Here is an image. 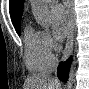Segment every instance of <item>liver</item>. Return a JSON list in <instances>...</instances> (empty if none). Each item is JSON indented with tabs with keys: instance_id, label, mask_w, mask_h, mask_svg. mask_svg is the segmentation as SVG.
Instances as JSON below:
<instances>
[{
	"instance_id": "6515ba94",
	"label": "liver",
	"mask_w": 89,
	"mask_h": 89,
	"mask_svg": "<svg viewBox=\"0 0 89 89\" xmlns=\"http://www.w3.org/2000/svg\"><path fill=\"white\" fill-rule=\"evenodd\" d=\"M54 80L45 76H33L26 79L24 89H54Z\"/></svg>"
}]
</instances>
